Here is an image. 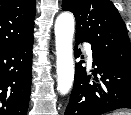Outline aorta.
I'll return each instance as SVG.
<instances>
[{
    "label": "aorta",
    "instance_id": "762f6f07",
    "mask_svg": "<svg viewBox=\"0 0 131 115\" xmlns=\"http://www.w3.org/2000/svg\"><path fill=\"white\" fill-rule=\"evenodd\" d=\"M75 20L71 13H61L55 22L57 90L67 94L74 81L73 34Z\"/></svg>",
    "mask_w": 131,
    "mask_h": 115
}]
</instances>
